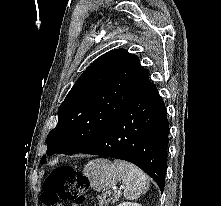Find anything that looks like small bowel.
<instances>
[{
  "mask_svg": "<svg viewBox=\"0 0 221 206\" xmlns=\"http://www.w3.org/2000/svg\"><path fill=\"white\" fill-rule=\"evenodd\" d=\"M61 206H75V205H71V204H64V205H61Z\"/></svg>",
  "mask_w": 221,
  "mask_h": 206,
  "instance_id": "1",
  "label": "small bowel"
}]
</instances>
